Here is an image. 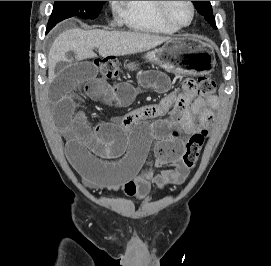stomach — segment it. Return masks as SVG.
I'll use <instances>...</instances> for the list:
<instances>
[{
  "mask_svg": "<svg viewBox=\"0 0 271 266\" xmlns=\"http://www.w3.org/2000/svg\"><path fill=\"white\" fill-rule=\"evenodd\" d=\"M143 58L169 73L178 75H205L210 73L216 64L211 45L194 37L173 38L162 47L147 52ZM128 67L136 70L135 64H129Z\"/></svg>",
  "mask_w": 271,
  "mask_h": 266,
  "instance_id": "stomach-1",
  "label": "stomach"
}]
</instances>
